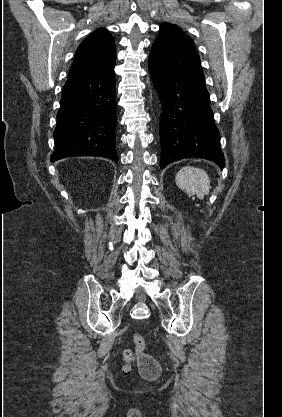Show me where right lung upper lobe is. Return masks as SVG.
I'll return each mask as SVG.
<instances>
[{
  "label": "right lung upper lobe",
  "mask_w": 282,
  "mask_h": 417,
  "mask_svg": "<svg viewBox=\"0 0 282 417\" xmlns=\"http://www.w3.org/2000/svg\"><path fill=\"white\" fill-rule=\"evenodd\" d=\"M115 41L106 29H98L79 45L68 77H74L116 61Z\"/></svg>",
  "instance_id": "cb5924a9"
}]
</instances>
